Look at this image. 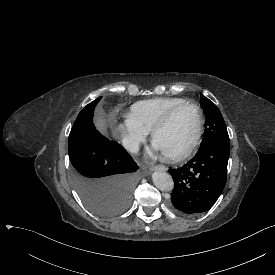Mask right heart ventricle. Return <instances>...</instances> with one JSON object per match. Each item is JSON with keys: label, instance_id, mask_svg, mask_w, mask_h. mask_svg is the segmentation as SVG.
Instances as JSON below:
<instances>
[{"label": "right heart ventricle", "instance_id": "obj_1", "mask_svg": "<svg viewBox=\"0 0 275 275\" xmlns=\"http://www.w3.org/2000/svg\"><path fill=\"white\" fill-rule=\"evenodd\" d=\"M185 101L182 98L161 97L137 102L131 106L127 116L149 133L172 107Z\"/></svg>", "mask_w": 275, "mask_h": 275}]
</instances>
